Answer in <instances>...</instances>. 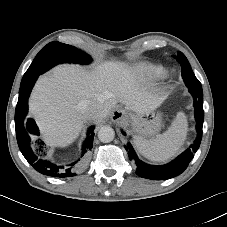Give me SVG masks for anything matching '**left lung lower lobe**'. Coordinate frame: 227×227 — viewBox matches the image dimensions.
I'll use <instances>...</instances> for the list:
<instances>
[{
	"label": "left lung lower lobe",
	"mask_w": 227,
	"mask_h": 227,
	"mask_svg": "<svg viewBox=\"0 0 227 227\" xmlns=\"http://www.w3.org/2000/svg\"><path fill=\"white\" fill-rule=\"evenodd\" d=\"M190 93L194 98L195 119L197 129L196 140L194 141L193 144L190 145V147L186 151H184L175 160L162 166L149 165L139 160L132 145L128 143L125 146V149L128 152L129 159L135 162L137 166L136 173L140 177L151 180H163L173 178L184 172V170L188 167L190 161L193 159L194 153L198 150L202 139L204 111H203V92Z\"/></svg>",
	"instance_id": "left-lung-lower-lobe-1"
}]
</instances>
